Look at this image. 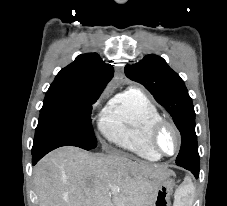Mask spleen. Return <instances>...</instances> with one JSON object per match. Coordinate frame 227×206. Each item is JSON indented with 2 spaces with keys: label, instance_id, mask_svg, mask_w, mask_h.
<instances>
[{
  "label": "spleen",
  "instance_id": "1",
  "mask_svg": "<svg viewBox=\"0 0 227 206\" xmlns=\"http://www.w3.org/2000/svg\"><path fill=\"white\" fill-rule=\"evenodd\" d=\"M194 186L188 181L182 185L175 193L174 206H191L193 202Z\"/></svg>",
  "mask_w": 227,
  "mask_h": 206
}]
</instances>
